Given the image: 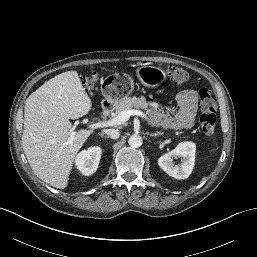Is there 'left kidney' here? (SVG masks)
Wrapping results in <instances>:
<instances>
[{
	"label": "left kidney",
	"mask_w": 257,
	"mask_h": 257,
	"mask_svg": "<svg viewBox=\"0 0 257 257\" xmlns=\"http://www.w3.org/2000/svg\"><path fill=\"white\" fill-rule=\"evenodd\" d=\"M196 145L193 142H181L177 147L161 156L158 159V165L169 176L175 179H186L191 174L195 163ZM175 158H181V163L176 165Z\"/></svg>",
	"instance_id": "5707ae66"
}]
</instances>
